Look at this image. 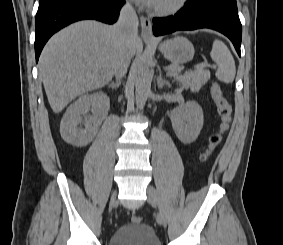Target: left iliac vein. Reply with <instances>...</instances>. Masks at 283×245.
I'll return each instance as SVG.
<instances>
[{
    "label": "left iliac vein",
    "mask_w": 283,
    "mask_h": 245,
    "mask_svg": "<svg viewBox=\"0 0 283 245\" xmlns=\"http://www.w3.org/2000/svg\"><path fill=\"white\" fill-rule=\"evenodd\" d=\"M147 196H148V201L156 206L158 208V211H159V214H158V217H157V221L160 225H163V226H166L167 224V219H166V216H165V212H164V209L162 207V204H161V201H160V198H159V195H158V192L156 191V189L149 185L147 187Z\"/></svg>",
    "instance_id": "4c4485c4"
}]
</instances>
